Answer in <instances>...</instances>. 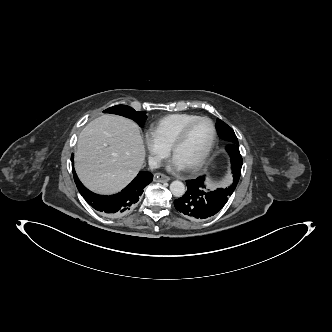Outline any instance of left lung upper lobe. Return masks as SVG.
Segmentation results:
<instances>
[{
  "mask_svg": "<svg viewBox=\"0 0 332 332\" xmlns=\"http://www.w3.org/2000/svg\"><path fill=\"white\" fill-rule=\"evenodd\" d=\"M216 128H217L219 137L221 139L229 142L226 149L229 152L230 157H231V168H232L234 182L230 187L225 188V189L228 190L230 193H233V191L238 183V180L240 178V175H241V166L239 165V163L237 161L236 155H235L234 151L232 150L231 145L238 146V139H237L233 129H231L226 123H224L220 119H217Z\"/></svg>",
  "mask_w": 332,
  "mask_h": 332,
  "instance_id": "obj_1",
  "label": "left lung upper lobe"
}]
</instances>
